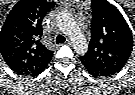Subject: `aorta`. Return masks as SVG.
Returning <instances> with one entry per match:
<instances>
[{
    "mask_svg": "<svg viewBox=\"0 0 135 95\" xmlns=\"http://www.w3.org/2000/svg\"><path fill=\"white\" fill-rule=\"evenodd\" d=\"M75 34L70 32L71 39L73 41L74 48L77 52H85L87 43L84 35L80 32V30L76 29Z\"/></svg>",
    "mask_w": 135,
    "mask_h": 95,
    "instance_id": "obj_1",
    "label": "aorta"
}]
</instances>
